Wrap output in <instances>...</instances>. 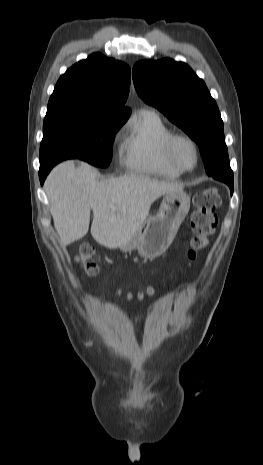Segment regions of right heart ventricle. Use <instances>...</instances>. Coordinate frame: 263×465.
I'll list each match as a JSON object with an SVG mask.
<instances>
[{"instance_id": "right-heart-ventricle-1", "label": "right heart ventricle", "mask_w": 263, "mask_h": 465, "mask_svg": "<svg viewBox=\"0 0 263 465\" xmlns=\"http://www.w3.org/2000/svg\"><path fill=\"white\" fill-rule=\"evenodd\" d=\"M171 134L151 110H141L129 124L122 142L123 163L132 173L175 179L181 172L167 161L164 143Z\"/></svg>"}]
</instances>
